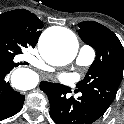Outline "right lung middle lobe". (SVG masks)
Listing matches in <instances>:
<instances>
[{
	"mask_svg": "<svg viewBox=\"0 0 124 124\" xmlns=\"http://www.w3.org/2000/svg\"><path fill=\"white\" fill-rule=\"evenodd\" d=\"M24 38L4 23H0V59L13 61L15 55L27 48Z\"/></svg>",
	"mask_w": 124,
	"mask_h": 124,
	"instance_id": "1",
	"label": "right lung middle lobe"
}]
</instances>
